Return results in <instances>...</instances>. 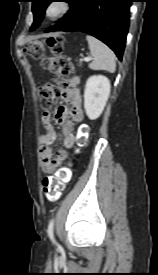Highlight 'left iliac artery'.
Returning <instances> with one entry per match:
<instances>
[{"instance_id": "1", "label": "left iliac artery", "mask_w": 158, "mask_h": 275, "mask_svg": "<svg viewBox=\"0 0 158 275\" xmlns=\"http://www.w3.org/2000/svg\"><path fill=\"white\" fill-rule=\"evenodd\" d=\"M53 227H54V219H51L48 225V236L50 238V240L52 241L53 244H56V240L54 238V234H53Z\"/></svg>"}]
</instances>
